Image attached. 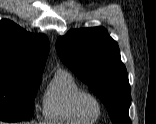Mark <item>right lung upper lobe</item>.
<instances>
[{
  "mask_svg": "<svg viewBox=\"0 0 156 124\" xmlns=\"http://www.w3.org/2000/svg\"><path fill=\"white\" fill-rule=\"evenodd\" d=\"M49 53L44 34H32L14 22L0 21V69L25 74H41Z\"/></svg>",
  "mask_w": 156,
  "mask_h": 124,
  "instance_id": "right-lung-upper-lobe-1",
  "label": "right lung upper lobe"
}]
</instances>
